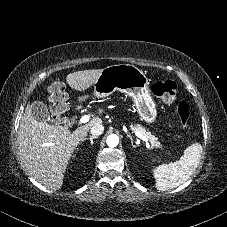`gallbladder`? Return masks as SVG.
I'll return each mask as SVG.
<instances>
[{
	"mask_svg": "<svg viewBox=\"0 0 227 227\" xmlns=\"http://www.w3.org/2000/svg\"><path fill=\"white\" fill-rule=\"evenodd\" d=\"M30 108L32 111V115L36 120L42 121V122L51 121L49 111L46 105H44L42 102L34 101L31 103ZM62 122L66 124L67 120L63 119Z\"/></svg>",
	"mask_w": 227,
	"mask_h": 227,
	"instance_id": "gallbladder-1",
	"label": "gallbladder"
}]
</instances>
